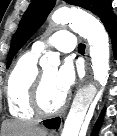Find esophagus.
<instances>
[{
  "mask_svg": "<svg viewBox=\"0 0 117 136\" xmlns=\"http://www.w3.org/2000/svg\"><path fill=\"white\" fill-rule=\"evenodd\" d=\"M90 67H89V62H88V58H87V63H86V71L89 72Z\"/></svg>",
  "mask_w": 117,
  "mask_h": 136,
  "instance_id": "34e87169",
  "label": "esophagus"
}]
</instances>
